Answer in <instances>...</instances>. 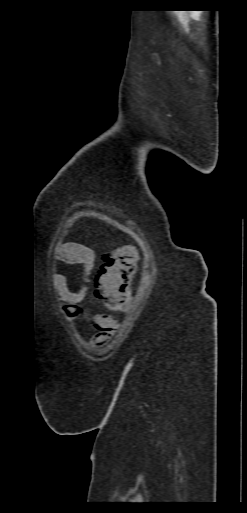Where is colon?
Here are the masks:
<instances>
[{
    "label": "colon",
    "mask_w": 247,
    "mask_h": 513,
    "mask_svg": "<svg viewBox=\"0 0 247 513\" xmlns=\"http://www.w3.org/2000/svg\"><path fill=\"white\" fill-rule=\"evenodd\" d=\"M136 267V252L131 247L104 253L94 275L95 297L112 311L123 309L131 296V280Z\"/></svg>",
    "instance_id": "colon-1"
}]
</instances>
